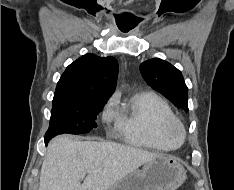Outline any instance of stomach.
Returning a JSON list of instances; mask_svg holds the SVG:
<instances>
[{
	"mask_svg": "<svg viewBox=\"0 0 234 190\" xmlns=\"http://www.w3.org/2000/svg\"><path fill=\"white\" fill-rule=\"evenodd\" d=\"M184 167L173 157L160 156L144 164L108 190H176L186 180Z\"/></svg>",
	"mask_w": 234,
	"mask_h": 190,
	"instance_id": "stomach-1",
	"label": "stomach"
}]
</instances>
